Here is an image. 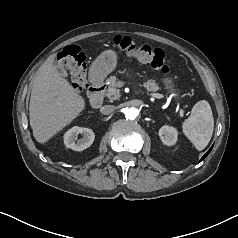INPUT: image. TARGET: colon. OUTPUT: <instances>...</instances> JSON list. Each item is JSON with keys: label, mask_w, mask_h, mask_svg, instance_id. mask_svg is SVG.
Masks as SVG:
<instances>
[{"label": "colon", "mask_w": 238, "mask_h": 238, "mask_svg": "<svg viewBox=\"0 0 238 238\" xmlns=\"http://www.w3.org/2000/svg\"><path fill=\"white\" fill-rule=\"evenodd\" d=\"M113 44L127 55L163 74L170 71V62L160 48L148 44L137 45L130 37L121 35L113 38ZM55 62L70 72L72 86L75 90L82 91L87 88L85 55L78 46L65 47L56 55Z\"/></svg>", "instance_id": "obj_1"}]
</instances>
